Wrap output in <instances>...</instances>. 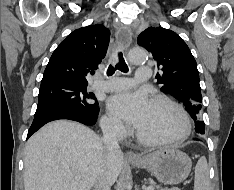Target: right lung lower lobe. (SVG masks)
Instances as JSON below:
<instances>
[{
	"label": "right lung lower lobe",
	"instance_id": "right-lung-lower-lobe-1",
	"mask_svg": "<svg viewBox=\"0 0 234 190\" xmlns=\"http://www.w3.org/2000/svg\"><path fill=\"white\" fill-rule=\"evenodd\" d=\"M97 115L98 111L94 114H88L66 107L49 108L34 116L33 123L28 131L27 139L48 122L59 119H68L80 122L85 125H94L97 121Z\"/></svg>",
	"mask_w": 234,
	"mask_h": 190
}]
</instances>
